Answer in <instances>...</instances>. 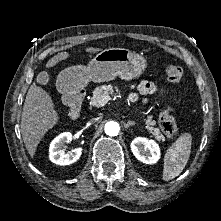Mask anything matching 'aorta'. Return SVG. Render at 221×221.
I'll list each match as a JSON object with an SVG mask.
<instances>
[{
    "mask_svg": "<svg viewBox=\"0 0 221 221\" xmlns=\"http://www.w3.org/2000/svg\"><path fill=\"white\" fill-rule=\"evenodd\" d=\"M104 130L108 136H116L120 131V126L115 121H109L105 124Z\"/></svg>",
    "mask_w": 221,
    "mask_h": 221,
    "instance_id": "obj_1",
    "label": "aorta"
}]
</instances>
